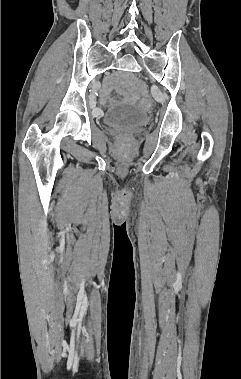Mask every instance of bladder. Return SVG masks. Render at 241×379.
Returning a JSON list of instances; mask_svg holds the SVG:
<instances>
[{"label": "bladder", "mask_w": 241, "mask_h": 379, "mask_svg": "<svg viewBox=\"0 0 241 379\" xmlns=\"http://www.w3.org/2000/svg\"><path fill=\"white\" fill-rule=\"evenodd\" d=\"M102 119L108 126L132 129L147 123L149 116L138 107L119 104L108 109Z\"/></svg>", "instance_id": "1"}]
</instances>
